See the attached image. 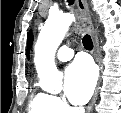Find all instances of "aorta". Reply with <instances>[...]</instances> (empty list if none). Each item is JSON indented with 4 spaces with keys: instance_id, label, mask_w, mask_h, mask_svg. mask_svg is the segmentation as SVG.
Here are the masks:
<instances>
[{
    "instance_id": "obj_1",
    "label": "aorta",
    "mask_w": 121,
    "mask_h": 113,
    "mask_svg": "<svg viewBox=\"0 0 121 113\" xmlns=\"http://www.w3.org/2000/svg\"><path fill=\"white\" fill-rule=\"evenodd\" d=\"M73 21V14H52L45 21L38 36L34 63L42 88L49 92L61 89L62 77L57 70L54 57Z\"/></svg>"
}]
</instances>
